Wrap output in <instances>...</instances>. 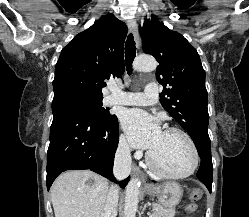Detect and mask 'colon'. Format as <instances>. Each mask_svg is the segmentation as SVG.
I'll use <instances>...</instances> for the list:
<instances>
[{
	"label": "colon",
	"instance_id": "obj_1",
	"mask_svg": "<svg viewBox=\"0 0 249 217\" xmlns=\"http://www.w3.org/2000/svg\"><path fill=\"white\" fill-rule=\"evenodd\" d=\"M202 191L198 188H193L189 190L188 197L190 200V204L186 207V212L191 214L196 211L197 205L196 202L201 198Z\"/></svg>",
	"mask_w": 249,
	"mask_h": 217
}]
</instances>
